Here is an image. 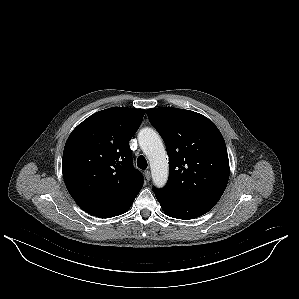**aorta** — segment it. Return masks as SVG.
Masks as SVG:
<instances>
[{
    "label": "aorta",
    "instance_id": "obj_1",
    "mask_svg": "<svg viewBox=\"0 0 299 299\" xmlns=\"http://www.w3.org/2000/svg\"><path fill=\"white\" fill-rule=\"evenodd\" d=\"M138 141L149 159L154 185L162 188L168 180V159L160 135L151 128H144L139 132Z\"/></svg>",
    "mask_w": 299,
    "mask_h": 299
}]
</instances>
